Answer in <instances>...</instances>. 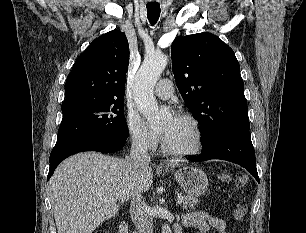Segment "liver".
Masks as SVG:
<instances>
[{
	"instance_id": "6515ba94",
	"label": "liver",
	"mask_w": 306,
	"mask_h": 233,
	"mask_svg": "<svg viewBox=\"0 0 306 233\" xmlns=\"http://www.w3.org/2000/svg\"><path fill=\"white\" fill-rule=\"evenodd\" d=\"M180 160H169L170 166ZM149 165L136 168L129 159L96 152L64 160L49 181L50 201L58 233H92L115 216L120 204L152 185Z\"/></svg>"
}]
</instances>
